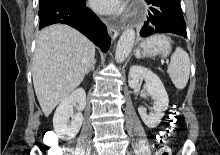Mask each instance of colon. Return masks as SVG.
Wrapping results in <instances>:
<instances>
[{
  "instance_id": "1",
  "label": "colon",
  "mask_w": 220,
  "mask_h": 155,
  "mask_svg": "<svg viewBox=\"0 0 220 155\" xmlns=\"http://www.w3.org/2000/svg\"><path fill=\"white\" fill-rule=\"evenodd\" d=\"M166 133H158L156 137V144H151V149H159L158 155H170L172 132L177 129L179 124V114L176 109H171L166 116ZM49 149L55 148V146H49Z\"/></svg>"
}]
</instances>
